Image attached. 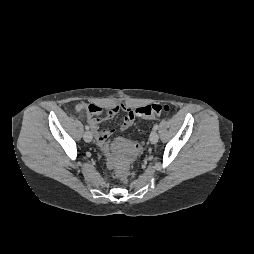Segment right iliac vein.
<instances>
[{"label":"right iliac vein","instance_id":"right-iliac-vein-1","mask_svg":"<svg viewBox=\"0 0 254 254\" xmlns=\"http://www.w3.org/2000/svg\"><path fill=\"white\" fill-rule=\"evenodd\" d=\"M83 137L86 142H91L93 138L92 133L90 131H86Z\"/></svg>","mask_w":254,"mask_h":254}]
</instances>
